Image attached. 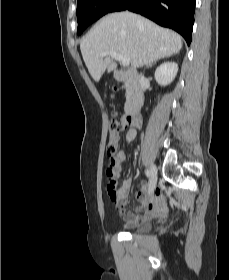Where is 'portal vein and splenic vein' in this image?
Returning <instances> with one entry per match:
<instances>
[{"instance_id":"18ae733b","label":"portal vein and splenic vein","mask_w":229,"mask_h":280,"mask_svg":"<svg viewBox=\"0 0 229 280\" xmlns=\"http://www.w3.org/2000/svg\"><path fill=\"white\" fill-rule=\"evenodd\" d=\"M107 55H110L114 59L120 61L123 67H128L130 65L129 57L123 56V55H121L117 52H113V51H109V52L107 51V52L101 53V57H106Z\"/></svg>"}]
</instances>
